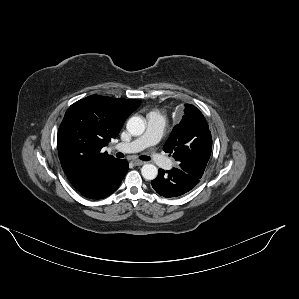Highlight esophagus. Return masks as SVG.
<instances>
[{"label": "esophagus", "mask_w": 299, "mask_h": 299, "mask_svg": "<svg viewBox=\"0 0 299 299\" xmlns=\"http://www.w3.org/2000/svg\"><path fill=\"white\" fill-rule=\"evenodd\" d=\"M133 162V164L135 165V166H141V165H143L145 162H143V161H140V160H133L132 161Z\"/></svg>", "instance_id": "34e87169"}]
</instances>
